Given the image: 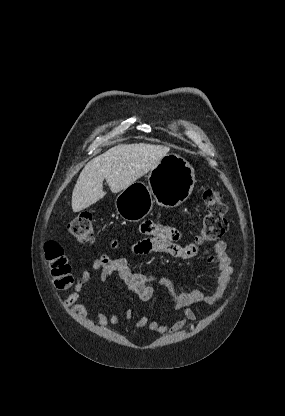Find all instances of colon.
<instances>
[{"instance_id":"1","label":"colon","mask_w":285,"mask_h":416,"mask_svg":"<svg viewBox=\"0 0 285 416\" xmlns=\"http://www.w3.org/2000/svg\"><path fill=\"white\" fill-rule=\"evenodd\" d=\"M201 198L206 211L203 217V226L197 237L198 242H216L227 230V206L222 195L217 190L204 187L201 189ZM68 233L80 243H91L94 240V219L89 213H82L72 219L67 225ZM45 256L50 262L51 274L54 284L58 288L69 287L73 278L71 267L64 255L62 247L57 242H48L45 245Z\"/></svg>"}]
</instances>
